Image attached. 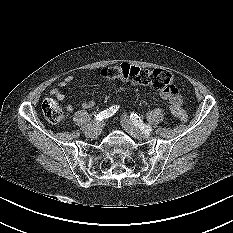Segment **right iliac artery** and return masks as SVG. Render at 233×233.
I'll return each mask as SVG.
<instances>
[{
  "label": "right iliac artery",
  "mask_w": 233,
  "mask_h": 233,
  "mask_svg": "<svg viewBox=\"0 0 233 233\" xmlns=\"http://www.w3.org/2000/svg\"><path fill=\"white\" fill-rule=\"evenodd\" d=\"M119 106H111L99 114L95 115L96 120L101 121L113 116L118 111Z\"/></svg>",
  "instance_id": "1"
}]
</instances>
